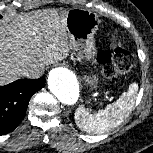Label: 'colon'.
Here are the masks:
<instances>
[{
  "label": "colon",
  "instance_id": "5ec220e1",
  "mask_svg": "<svg viewBox=\"0 0 153 153\" xmlns=\"http://www.w3.org/2000/svg\"><path fill=\"white\" fill-rule=\"evenodd\" d=\"M97 59L102 65L103 75L106 78H112L118 74L126 73L133 65L131 53L121 45L100 52Z\"/></svg>",
  "mask_w": 153,
  "mask_h": 153
}]
</instances>
